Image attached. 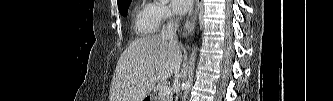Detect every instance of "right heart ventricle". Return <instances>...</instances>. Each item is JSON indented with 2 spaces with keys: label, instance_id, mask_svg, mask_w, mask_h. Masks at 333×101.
I'll return each instance as SVG.
<instances>
[{
  "label": "right heart ventricle",
  "instance_id": "1",
  "mask_svg": "<svg viewBox=\"0 0 333 101\" xmlns=\"http://www.w3.org/2000/svg\"><path fill=\"white\" fill-rule=\"evenodd\" d=\"M155 5L143 4L135 12L133 28L135 32L143 37H148L156 32L159 21L155 15Z\"/></svg>",
  "mask_w": 333,
  "mask_h": 101
}]
</instances>
